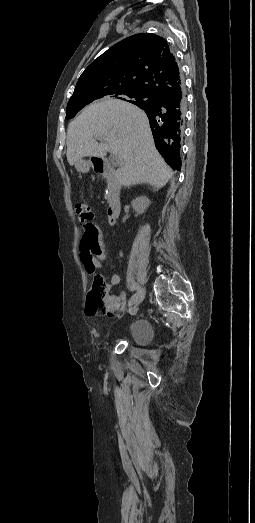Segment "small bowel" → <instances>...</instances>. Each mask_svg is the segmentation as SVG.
<instances>
[{"label": "small bowel", "mask_w": 255, "mask_h": 523, "mask_svg": "<svg viewBox=\"0 0 255 523\" xmlns=\"http://www.w3.org/2000/svg\"><path fill=\"white\" fill-rule=\"evenodd\" d=\"M95 217L93 214L92 220ZM92 220L83 223V235L80 242V260L88 274H93L97 269H100L102 262L107 258L101 229ZM110 281L113 285H117L120 282L119 274L113 273L110 276ZM125 298V294H121L118 297L121 305L124 303Z\"/></svg>", "instance_id": "small-bowel-1"}]
</instances>
